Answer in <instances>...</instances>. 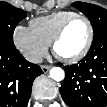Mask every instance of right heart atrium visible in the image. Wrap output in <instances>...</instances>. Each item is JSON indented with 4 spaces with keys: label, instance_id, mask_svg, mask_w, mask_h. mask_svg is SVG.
<instances>
[{
    "label": "right heart atrium",
    "instance_id": "d8ad5b80",
    "mask_svg": "<svg viewBox=\"0 0 107 107\" xmlns=\"http://www.w3.org/2000/svg\"><path fill=\"white\" fill-rule=\"evenodd\" d=\"M15 46L23 56L33 63H38L47 54L49 45L42 41L30 27L17 25L13 32Z\"/></svg>",
    "mask_w": 107,
    "mask_h": 107
}]
</instances>
